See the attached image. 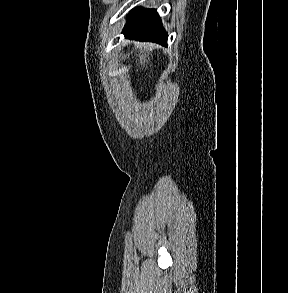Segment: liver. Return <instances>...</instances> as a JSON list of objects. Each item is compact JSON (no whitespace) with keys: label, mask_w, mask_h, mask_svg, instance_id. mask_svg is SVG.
<instances>
[{"label":"liver","mask_w":288,"mask_h":293,"mask_svg":"<svg viewBox=\"0 0 288 293\" xmlns=\"http://www.w3.org/2000/svg\"><path fill=\"white\" fill-rule=\"evenodd\" d=\"M153 48H154V45L153 44H148V43H144L143 44V49H144V52L145 53L140 57V59H141V65L143 64V66H144L145 65V62L148 63V60L146 59V52L152 51Z\"/></svg>","instance_id":"1"}]
</instances>
